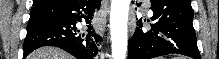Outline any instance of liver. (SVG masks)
Returning <instances> with one entry per match:
<instances>
[{
  "instance_id": "6515ba94",
  "label": "liver",
  "mask_w": 219,
  "mask_h": 59,
  "mask_svg": "<svg viewBox=\"0 0 219 59\" xmlns=\"http://www.w3.org/2000/svg\"><path fill=\"white\" fill-rule=\"evenodd\" d=\"M27 59H74L67 52L54 47H42L28 55Z\"/></svg>"
}]
</instances>
